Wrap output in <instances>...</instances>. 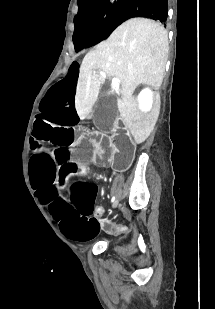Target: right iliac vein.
<instances>
[{"instance_id":"1","label":"right iliac vein","mask_w":215,"mask_h":309,"mask_svg":"<svg viewBox=\"0 0 215 309\" xmlns=\"http://www.w3.org/2000/svg\"><path fill=\"white\" fill-rule=\"evenodd\" d=\"M117 205H118V200H116V202L113 203V208L117 207Z\"/></svg>"}]
</instances>
